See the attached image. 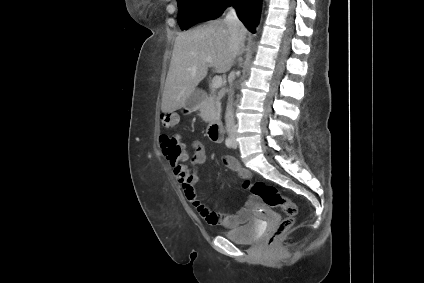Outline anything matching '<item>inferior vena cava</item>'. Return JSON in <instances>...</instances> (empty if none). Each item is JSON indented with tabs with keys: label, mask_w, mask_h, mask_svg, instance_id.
<instances>
[{
	"label": "inferior vena cava",
	"mask_w": 424,
	"mask_h": 283,
	"mask_svg": "<svg viewBox=\"0 0 424 283\" xmlns=\"http://www.w3.org/2000/svg\"><path fill=\"white\" fill-rule=\"evenodd\" d=\"M225 23L228 26L230 35H231V46L233 49L234 57L240 54L239 49L240 46L243 45L244 39H245V27L240 21V19L237 16V13L234 8H230L226 17H225ZM234 78V72H231L229 76V83H232V80ZM225 121H226V127L227 132H232L236 129L234 116H233V109H232V94L229 96V103L226 109V115H225Z\"/></svg>",
	"instance_id": "1"
}]
</instances>
